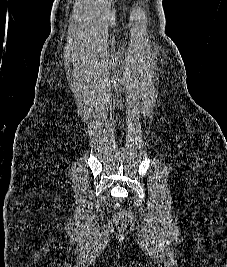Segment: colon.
<instances>
[{
	"label": "colon",
	"mask_w": 227,
	"mask_h": 267,
	"mask_svg": "<svg viewBox=\"0 0 227 267\" xmlns=\"http://www.w3.org/2000/svg\"><path fill=\"white\" fill-rule=\"evenodd\" d=\"M132 216L131 213L126 210H120L115 219V224L119 228L127 227L131 222Z\"/></svg>",
	"instance_id": "obj_1"
}]
</instances>
